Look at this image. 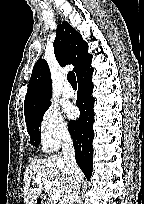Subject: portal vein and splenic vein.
<instances>
[{
    "mask_svg": "<svg viewBox=\"0 0 144 204\" xmlns=\"http://www.w3.org/2000/svg\"><path fill=\"white\" fill-rule=\"evenodd\" d=\"M34 180L36 183H39L40 181L44 182V188L46 190H49L48 195L51 200H58L60 198V193L56 189H51L52 182L50 180L41 176H37Z\"/></svg>",
    "mask_w": 144,
    "mask_h": 204,
    "instance_id": "obj_1",
    "label": "portal vein and splenic vein"
}]
</instances>
